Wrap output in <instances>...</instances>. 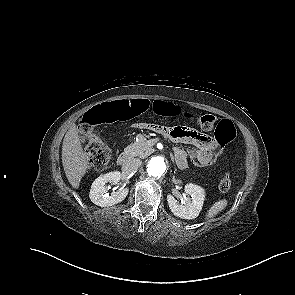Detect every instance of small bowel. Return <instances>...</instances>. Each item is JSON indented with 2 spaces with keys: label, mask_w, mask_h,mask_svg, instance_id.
<instances>
[{
  "label": "small bowel",
  "mask_w": 295,
  "mask_h": 295,
  "mask_svg": "<svg viewBox=\"0 0 295 295\" xmlns=\"http://www.w3.org/2000/svg\"><path fill=\"white\" fill-rule=\"evenodd\" d=\"M138 127L162 133L177 143L191 145L190 149L198 164L210 163L219 148V143L215 139L191 128H170L153 124H140ZM184 150V147H176L174 150L175 163L181 169L186 168L189 162Z\"/></svg>",
  "instance_id": "1"
}]
</instances>
